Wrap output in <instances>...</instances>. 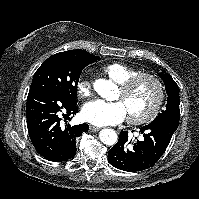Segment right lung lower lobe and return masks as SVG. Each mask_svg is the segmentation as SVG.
<instances>
[{"mask_svg": "<svg viewBox=\"0 0 199 199\" xmlns=\"http://www.w3.org/2000/svg\"><path fill=\"white\" fill-rule=\"evenodd\" d=\"M78 112L77 104L51 88L29 91L26 103L27 128L37 152L45 159L61 162L76 154V138L89 129L88 124L67 123ZM66 122L65 125L63 122Z\"/></svg>", "mask_w": 199, "mask_h": 199, "instance_id": "98d812e1", "label": "right lung lower lobe"}]
</instances>
